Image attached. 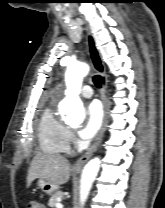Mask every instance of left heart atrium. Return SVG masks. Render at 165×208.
<instances>
[{"label": "left heart atrium", "instance_id": "left-heart-atrium-1", "mask_svg": "<svg viewBox=\"0 0 165 208\" xmlns=\"http://www.w3.org/2000/svg\"><path fill=\"white\" fill-rule=\"evenodd\" d=\"M103 118V111L98 101L90 102L86 107V119L79 129V136L83 140H91L100 129Z\"/></svg>", "mask_w": 165, "mask_h": 208}]
</instances>
